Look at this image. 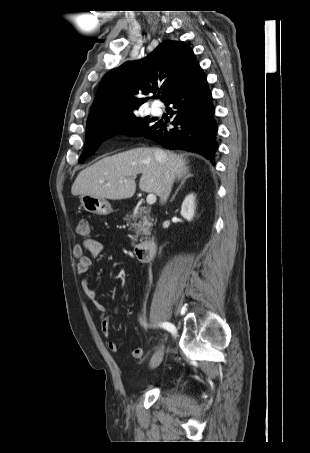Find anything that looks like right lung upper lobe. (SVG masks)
Returning <instances> with one entry per match:
<instances>
[{
	"label": "right lung upper lobe",
	"instance_id": "right-lung-upper-lobe-1",
	"mask_svg": "<svg viewBox=\"0 0 310 453\" xmlns=\"http://www.w3.org/2000/svg\"><path fill=\"white\" fill-rule=\"evenodd\" d=\"M199 67L188 46L168 40L147 58L110 70L99 85L86 129L133 113L148 100L140 96L157 89L165 103Z\"/></svg>",
	"mask_w": 310,
	"mask_h": 453
}]
</instances>
